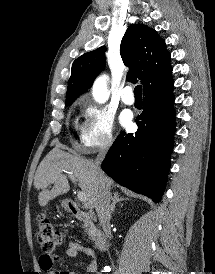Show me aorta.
<instances>
[{
  "label": "aorta",
  "mask_w": 215,
  "mask_h": 274,
  "mask_svg": "<svg viewBox=\"0 0 215 274\" xmlns=\"http://www.w3.org/2000/svg\"><path fill=\"white\" fill-rule=\"evenodd\" d=\"M92 94L94 99L99 103H104L108 99L105 76L96 79L92 88Z\"/></svg>",
  "instance_id": "obj_1"
}]
</instances>
